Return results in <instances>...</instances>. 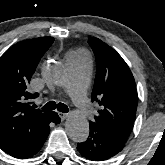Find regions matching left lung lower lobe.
Segmentation results:
<instances>
[{
	"mask_svg": "<svg viewBox=\"0 0 165 165\" xmlns=\"http://www.w3.org/2000/svg\"><path fill=\"white\" fill-rule=\"evenodd\" d=\"M126 140L90 124L87 140L77 144L80 154L92 161H102L118 154Z\"/></svg>",
	"mask_w": 165,
	"mask_h": 165,
	"instance_id": "obj_1",
	"label": "left lung lower lobe"
}]
</instances>
